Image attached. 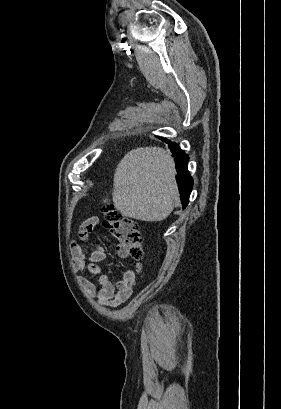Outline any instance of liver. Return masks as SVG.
I'll return each instance as SVG.
<instances>
[{
	"mask_svg": "<svg viewBox=\"0 0 281 409\" xmlns=\"http://www.w3.org/2000/svg\"><path fill=\"white\" fill-rule=\"evenodd\" d=\"M171 152L159 146L129 150L115 168L113 202L123 217L163 221L179 196Z\"/></svg>",
	"mask_w": 281,
	"mask_h": 409,
	"instance_id": "liver-1",
	"label": "liver"
}]
</instances>
